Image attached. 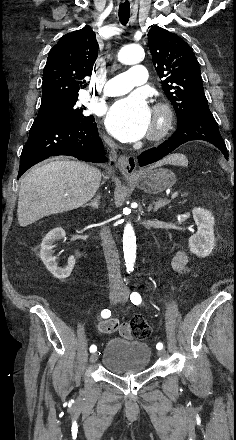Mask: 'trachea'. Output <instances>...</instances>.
I'll use <instances>...</instances> for the list:
<instances>
[{"instance_id": "trachea-1", "label": "trachea", "mask_w": 236, "mask_h": 440, "mask_svg": "<svg viewBox=\"0 0 236 440\" xmlns=\"http://www.w3.org/2000/svg\"><path fill=\"white\" fill-rule=\"evenodd\" d=\"M129 16H130V4L127 2L120 4L119 20L122 25H126L128 23Z\"/></svg>"}]
</instances>
